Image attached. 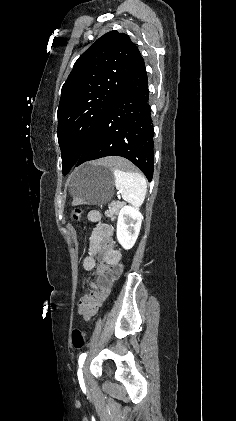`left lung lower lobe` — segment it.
Masks as SVG:
<instances>
[{
  "mask_svg": "<svg viewBox=\"0 0 236 421\" xmlns=\"http://www.w3.org/2000/svg\"><path fill=\"white\" fill-rule=\"evenodd\" d=\"M149 89L144 60L139 52L119 95L107 110L75 166L105 156H122L133 162L150 181L153 176V137ZM63 174L71 167L62 163Z\"/></svg>",
  "mask_w": 236,
  "mask_h": 421,
  "instance_id": "0a47b994",
  "label": "left lung lower lobe"
}]
</instances>
